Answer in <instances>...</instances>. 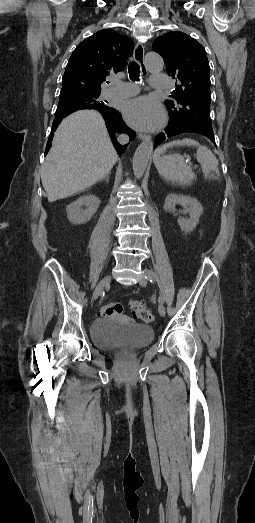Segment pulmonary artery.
<instances>
[{"label": "pulmonary artery", "mask_w": 255, "mask_h": 523, "mask_svg": "<svg viewBox=\"0 0 255 523\" xmlns=\"http://www.w3.org/2000/svg\"><path fill=\"white\" fill-rule=\"evenodd\" d=\"M151 84L157 92H163L166 88H171L169 76L164 73L156 72L151 76ZM112 87L106 91V97L108 99L112 98H125L132 95H135L139 91V87L135 83L131 82H122L116 78L111 80Z\"/></svg>", "instance_id": "obj_1"}]
</instances>
